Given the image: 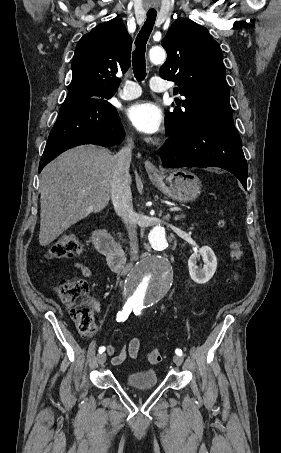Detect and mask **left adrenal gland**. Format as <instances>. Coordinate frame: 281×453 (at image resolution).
<instances>
[{"label": "left adrenal gland", "instance_id": "a2214340", "mask_svg": "<svg viewBox=\"0 0 281 453\" xmlns=\"http://www.w3.org/2000/svg\"><path fill=\"white\" fill-rule=\"evenodd\" d=\"M176 220H178V218H184L183 214H177V216H175Z\"/></svg>", "mask_w": 281, "mask_h": 453}]
</instances>
